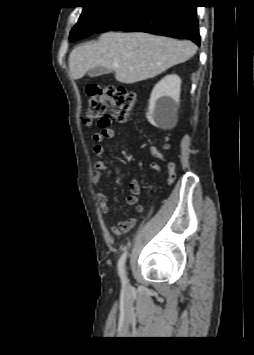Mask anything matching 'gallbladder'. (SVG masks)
Masks as SVG:
<instances>
[{
    "instance_id": "bac80fb5",
    "label": "gallbladder",
    "mask_w": 254,
    "mask_h": 355,
    "mask_svg": "<svg viewBox=\"0 0 254 355\" xmlns=\"http://www.w3.org/2000/svg\"><path fill=\"white\" fill-rule=\"evenodd\" d=\"M110 71L111 70H109L105 67L97 66V67L92 68L88 74L90 77H97V76L109 73Z\"/></svg>"
}]
</instances>
